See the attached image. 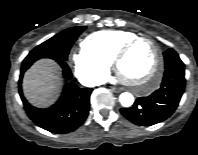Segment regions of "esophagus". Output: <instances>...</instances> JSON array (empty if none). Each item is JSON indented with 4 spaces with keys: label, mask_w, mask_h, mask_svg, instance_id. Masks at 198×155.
<instances>
[{
    "label": "esophagus",
    "mask_w": 198,
    "mask_h": 155,
    "mask_svg": "<svg viewBox=\"0 0 198 155\" xmlns=\"http://www.w3.org/2000/svg\"><path fill=\"white\" fill-rule=\"evenodd\" d=\"M111 90H112L113 92H115V93H119V92L122 91L121 89L116 88V87H111Z\"/></svg>",
    "instance_id": "1"
}]
</instances>
